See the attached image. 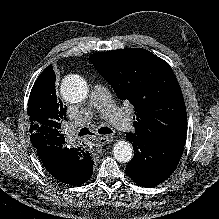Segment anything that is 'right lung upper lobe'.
I'll list each match as a JSON object with an SVG mask.
<instances>
[{"instance_id": "cb5924a9", "label": "right lung upper lobe", "mask_w": 219, "mask_h": 219, "mask_svg": "<svg viewBox=\"0 0 219 219\" xmlns=\"http://www.w3.org/2000/svg\"><path fill=\"white\" fill-rule=\"evenodd\" d=\"M38 106L41 114L48 115L52 127L43 125L41 118L30 120V139L32 145L37 149L43 144H64L65 139L60 133L61 123L66 120V106L57 98L55 91V73L52 65H49L38 77L32 87L29 97V107ZM89 155V153H87ZM54 170L60 175H67L71 172L63 157H56ZM56 160V161H55Z\"/></svg>"}]
</instances>
